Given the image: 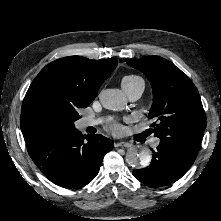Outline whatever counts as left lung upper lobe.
<instances>
[{"label":"left lung upper lobe","mask_w":221,"mask_h":221,"mask_svg":"<svg viewBox=\"0 0 221 221\" xmlns=\"http://www.w3.org/2000/svg\"><path fill=\"white\" fill-rule=\"evenodd\" d=\"M143 72L153 88L148 115L156 120L151 127L160 145L195 159L206 128V115L197 88L190 78L170 61L159 56L127 62Z\"/></svg>","instance_id":"obj_1"}]
</instances>
